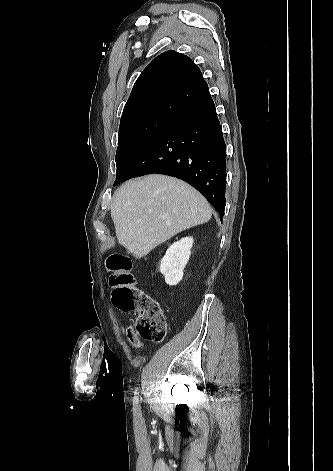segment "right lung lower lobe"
<instances>
[{"label":"right lung lower lobe","instance_id":"obj_1","mask_svg":"<svg viewBox=\"0 0 333 471\" xmlns=\"http://www.w3.org/2000/svg\"><path fill=\"white\" fill-rule=\"evenodd\" d=\"M152 173L188 182L223 218L226 204V145L209 92L175 117L114 185Z\"/></svg>","mask_w":333,"mask_h":471}]
</instances>
